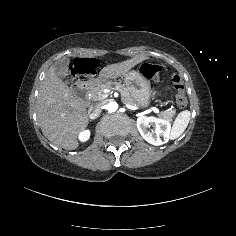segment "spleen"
<instances>
[{
  "label": "spleen",
  "mask_w": 236,
  "mask_h": 236,
  "mask_svg": "<svg viewBox=\"0 0 236 236\" xmlns=\"http://www.w3.org/2000/svg\"><path fill=\"white\" fill-rule=\"evenodd\" d=\"M190 117L191 113L189 110H184L178 114L169 135L171 140L177 139L182 135L189 124Z\"/></svg>",
  "instance_id": "obj_1"
}]
</instances>
